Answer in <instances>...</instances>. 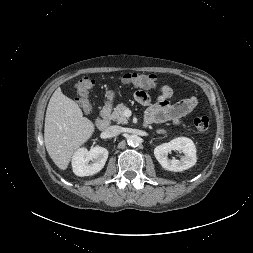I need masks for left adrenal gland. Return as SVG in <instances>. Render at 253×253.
Listing matches in <instances>:
<instances>
[{"label": "left adrenal gland", "instance_id": "obj_1", "mask_svg": "<svg viewBox=\"0 0 253 253\" xmlns=\"http://www.w3.org/2000/svg\"><path fill=\"white\" fill-rule=\"evenodd\" d=\"M156 133H157V134H163L164 131H163V130H157Z\"/></svg>", "mask_w": 253, "mask_h": 253}]
</instances>
